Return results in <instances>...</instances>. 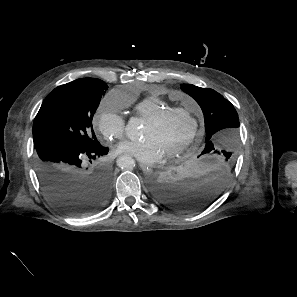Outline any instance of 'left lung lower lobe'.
I'll use <instances>...</instances> for the list:
<instances>
[{"label":"left lung lower lobe","instance_id":"obj_1","mask_svg":"<svg viewBox=\"0 0 297 297\" xmlns=\"http://www.w3.org/2000/svg\"><path fill=\"white\" fill-rule=\"evenodd\" d=\"M233 170V162L226 158L200 154L178 167L174 176L155 179L153 191L161 203L176 211H200L220 196Z\"/></svg>","mask_w":297,"mask_h":297}]
</instances>
